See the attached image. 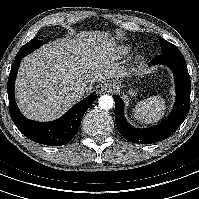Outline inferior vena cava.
<instances>
[{"label": "inferior vena cava", "instance_id": "inferior-vena-cava-1", "mask_svg": "<svg viewBox=\"0 0 199 199\" xmlns=\"http://www.w3.org/2000/svg\"><path fill=\"white\" fill-rule=\"evenodd\" d=\"M87 91V85L85 83L78 84L75 89L74 93L76 96H82Z\"/></svg>", "mask_w": 199, "mask_h": 199}]
</instances>
